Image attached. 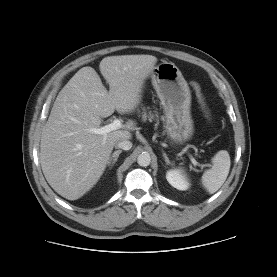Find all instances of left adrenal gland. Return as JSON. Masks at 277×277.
Listing matches in <instances>:
<instances>
[{
    "instance_id": "obj_1",
    "label": "left adrenal gland",
    "mask_w": 277,
    "mask_h": 277,
    "mask_svg": "<svg viewBox=\"0 0 277 277\" xmlns=\"http://www.w3.org/2000/svg\"><path fill=\"white\" fill-rule=\"evenodd\" d=\"M163 157L165 158V162L167 165H173L172 162L169 160V158L167 157L166 153L163 152Z\"/></svg>"
}]
</instances>
